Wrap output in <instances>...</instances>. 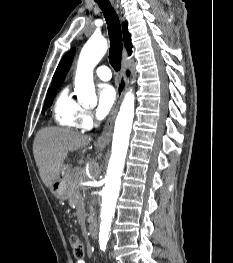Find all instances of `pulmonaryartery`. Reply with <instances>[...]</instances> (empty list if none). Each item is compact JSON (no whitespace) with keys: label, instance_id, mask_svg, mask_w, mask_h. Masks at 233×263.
I'll list each match as a JSON object with an SVG mask.
<instances>
[{"label":"pulmonary artery","instance_id":"e3ab8cb5","mask_svg":"<svg viewBox=\"0 0 233 263\" xmlns=\"http://www.w3.org/2000/svg\"><path fill=\"white\" fill-rule=\"evenodd\" d=\"M96 75L98 78H100L103 81H109L112 77V73L109 67L102 65L99 66L96 71Z\"/></svg>","mask_w":233,"mask_h":263}]
</instances>
